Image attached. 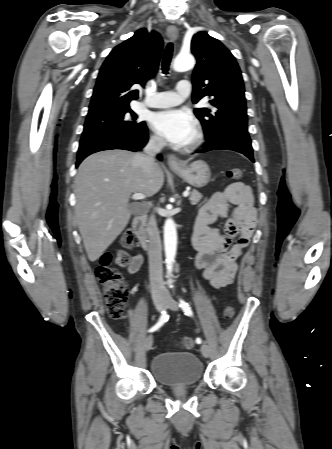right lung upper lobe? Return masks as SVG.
Here are the masks:
<instances>
[{
    "label": "right lung upper lobe",
    "mask_w": 332,
    "mask_h": 449,
    "mask_svg": "<svg viewBox=\"0 0 332 449\" xmlns=\"http://www.w3.org/2000/svg\"><path fill=\"white\" fill-rule=\"evenodd\" d=\"M162 48L161 36L146 28L116 46L100 68L89 112L129 107L139 94L134 86L156 74Z\"/></svg>",
    "instance_id": "obj_1"
}]
</instances>
